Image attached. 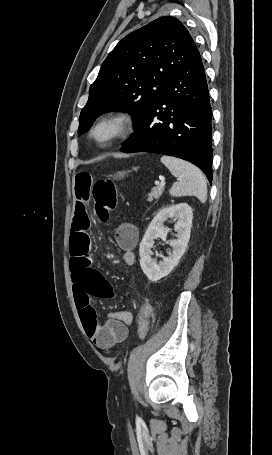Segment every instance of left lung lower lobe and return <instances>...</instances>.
Returning <instances> with one entry per match:
<instances>
[{
  "instance_id": "left-lung-lower-lobe-1",
  "label": "left lung lower lobe",
  "mask_w": 272,
  "mask_h": 455,
  "mask_svg": "<svg viewBox=\"0 0 272 455\" xmlns=\"http://www.w3.org/2000/svg\"><path fill=\"white\" fill-rule=\"evenodd\" d=\"M212 109L200 55L176 71L121 151L175 156L212 181Z\"/></svg>"
}]
</instances>
